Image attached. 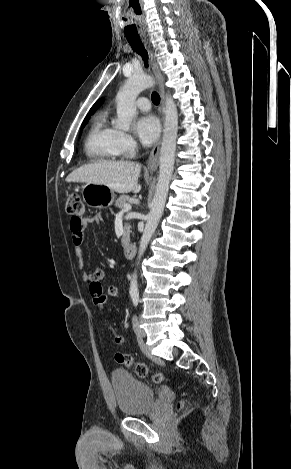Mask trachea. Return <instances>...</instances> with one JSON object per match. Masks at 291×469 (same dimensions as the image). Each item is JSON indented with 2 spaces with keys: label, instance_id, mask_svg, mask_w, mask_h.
Returning a JSON list of instances; mask_svg holds the SVG:
<instances>
[{
  "label": "trachea",
  "instance_id": "1",
  "mask_svg": "<svg viewBox=\"0 0 291 469\" xmlns=\"http://www.w3.org/2000/svg\"><path fill=\"white\" fill-rule=\"evenodd\" d=\"M127 40L129 44L131 45L132 49L138 53L143 61L145 62V66L148 67V53L146 49L143 46V43L141 42L139 37H127ZM152 102L155 105H158L160 103V96L157 92H153L151 95Z\"/></svg>",
  "mask_w": 291,
  "mask_h": 469
}]
</instances>
